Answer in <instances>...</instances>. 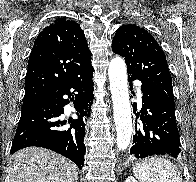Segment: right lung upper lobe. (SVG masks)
Segmentation results:
<instances>
[{"label":"right lung upper lobe","instance_id":"cb5924a9","mask_svg":"<svg viewBox=\"0 0 196 182\" xmlns=\"http://www.w3.org/2000/svg\"><path fill=\"white\" fill-rule=\"evenodd\" d=\"M90 62L91 52L76 22L58 18L46 26L29 57L23 107L33 105Z\"/></svg>","mask_w":196,"mask_h":182}]
</instances>
